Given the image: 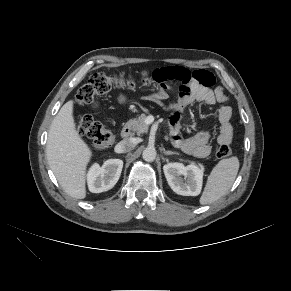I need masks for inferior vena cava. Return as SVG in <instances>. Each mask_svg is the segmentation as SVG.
<instances>
[{
    "label": "inferior vena cava",
    "mask_w": 291,
    "mask_h": 291,
    "mask_svg": "<svg viewBox=\"0 0 291 291\" xmlns=\"http://www.w3.org/2000/svg\"><path fill=\"white\" fill-rule=\"evenodd\" d=\"M136 146V142L133 138L123 139L118 143V151L120 153L130 152Z\"/></svg>",
    "instance_id": "inferior-vena-cava-1"
}]
</instances>
